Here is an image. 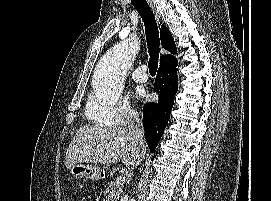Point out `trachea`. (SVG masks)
I'll return each instance as SVG.
<instances>
[{"label":"trachea","instance_id":"1","mask_svg":"<svg viewBox=\"0 0 271 201\" xmlns=\"http://www.w3.org/2000/svg\"><path fill=\"white\" fill-rule=\"evenodd\" d=\"M134 7L139 12L145 26L146 40L149 59V72L155 74L158 68V59L160 53V39L158 26L154 14L146 0H131Z\"/></svg>","mask_w":271,"mask_h":201}]
</instances>
